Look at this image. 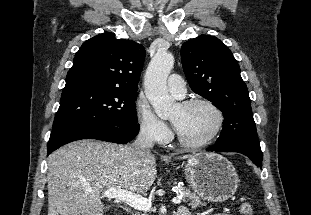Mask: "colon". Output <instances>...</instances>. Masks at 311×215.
<instances>
[{"label":"colon","mask_w":311,"mask_h":215,"mask_svg":"<svg viewBox=\"0 0 311 215\" xmlns=\"http://www.w3.org/2000/svg\"><path fill=\"white\" fill-rule=\"evenodd\" d=\"M237 211L239 215H253L254 207L251 202L241 200L237 203Z\"/></svg>","instance_id":"colon-1"}]
</instances>
